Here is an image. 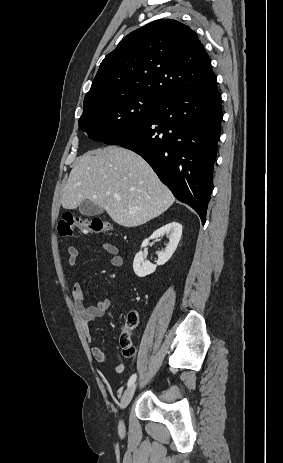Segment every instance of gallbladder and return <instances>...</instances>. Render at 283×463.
<instances>
[{
  "instance_id": "obj_1",
  "label": "gallbladder",
  "mask_w": 283,
  "mask_h": 463,
  "mask_svg": "<svg viewBox=\"0 0 283 463\" xmlns=\"http://www.w3.org/2000/svg\"><path fill=\"white\" fill-rule=\"evenodd\" d=\"M79 211L84 216H94L103 213V208L90 200H84L79 205Z\"/></svg>"
}]
</instances>
